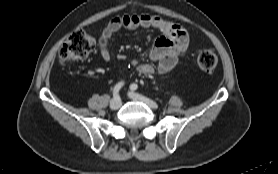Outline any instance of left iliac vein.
<instances>
[{
	"instance_id": "left-iliac-vein-1",
	"label": "left iliac vein",
	"mask_w": 278,
	"mask_h": 174,
	"mask_svg": "<svg viewBox=\"0 0 278 174\" xmlns=\"http://www.w3.org/2000/svg\"><path fill=\"white\" fill-rule=\"evenodd\" d=\"M129 97L135 101H141L143 103H145L147 106H149L150 108H156L157 107V103L154 102L153 100L144 97L140 94L134 93V92H129L128 93Z\"/></svg>"
}]
</instances>
